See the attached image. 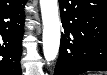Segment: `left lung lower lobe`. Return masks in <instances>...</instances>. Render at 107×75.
<instances>
[{
  "label": "left lung lower lobe",
  "instance_id": "0a47b994",
  "mask_svg": "<svg viewBox=\"0 0 107 75\" xmlns=\"http://www.w3.org/2000/svg\"><path fill=\"white\" fill-rule=\"evenodd\" d=\"M62 33L54 75L107 71V0H59ZM75 15L84 24V35L68 39L66 32Z\"/></svg>",
  "mask_w": 107,
  "mask_h": 75
}]
</instances>
